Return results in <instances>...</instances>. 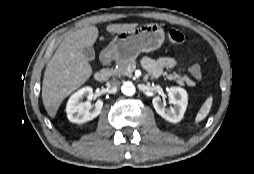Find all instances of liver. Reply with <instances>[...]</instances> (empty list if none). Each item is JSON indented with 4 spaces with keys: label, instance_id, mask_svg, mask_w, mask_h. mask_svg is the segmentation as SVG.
Listing matches in <instances>:
<instances>
[{
    "label": "liver",
    "instance_id": "obj_1",
    "mask_svg": "<svg viewBox=\"0 0 254 174\" xmlns=\"http://www.w3.org/2000/svg\"><path fill=\"white\" fill-rule=\"evenodd\" d=\"M136 26L137 23L110 24L106 30L119 34ZM98 34L95 26H85L70 33L48 62L42 83V100L51 118L56 116L62 101L90 78L92 68L81 49L92 46Z\"/></svg>",
    "mask_w": 254,
    "mask_h": 174
}]
</instances>
